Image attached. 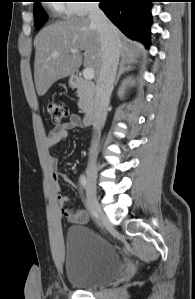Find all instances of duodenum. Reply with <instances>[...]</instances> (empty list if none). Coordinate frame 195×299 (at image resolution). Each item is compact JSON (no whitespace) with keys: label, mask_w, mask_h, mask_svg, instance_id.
<instances>
[{"label":"duodenum","mask_w":195,"mask_h":299,"mask_svg":"<svg viewBox=\"0 0 195 299\" xmlns=\"http://www.w3.org/2000/svg\"><path fill=\"white\" fill-rule=\"evenodd\" d=\"M71 85L74 88H77L86 94L94 95L96 92V86L93 83H89L85 81L80 76L74 75L71 78ZM100 109L98 103H91L90 106L85 111L84 115L82 116V123L85 126L92 125L96 122L98 115H99Z\"/></svg>","instance_id":"duodenum-1"}]
</instances>
